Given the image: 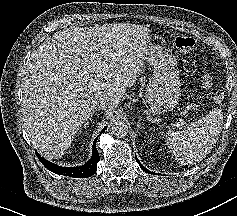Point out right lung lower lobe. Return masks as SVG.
I'll return each mask as SVG.
<instances>
[{
    "label": "right lung lower lobe",
    "instance_id": "obj_1",
    "mask_svg": "<svg viewBox=\"0 0 237 216\" xmlns=\"http://www.w3.org/2000/svg\"><path fill=\"white\" fill-rule=\"evenodd\" d=\"M104 131H105V128L101 131L100 134H102ZM96 141H97V138L94 140V143H93V153H92L91 159L85 165L78 166V167L71 168V167L58 166L54 163L47 161L46 159L41 157L37 152H36V155L39 158L40 162L48 170H50L51 172L55 174L66 175V176H71L75 178H87V177L92 176L97 171V163L99 162V159H100L98 151L96 149Z\"/></svg>",
    "mask_w": 237,
    "mask_h": 216
}]
</instances>
